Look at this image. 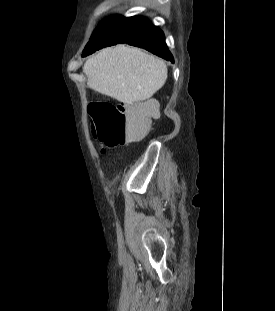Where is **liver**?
<instances>
[{"instance_id":"liver-1","label":"liver","mask_w":275,"mask_h":311,"mask_svg":"<svg viewBox=\"0 0 275 311\" xmlns=\"http://www.w3.org/2000/svg\"><path fill=\"white\" fill-rule=\"evenodd\" d=\"M83 72L91 89L127 104L151 98L167 79L163 60L125 45L93 55Z\"/></svg>"}]
</instances>
